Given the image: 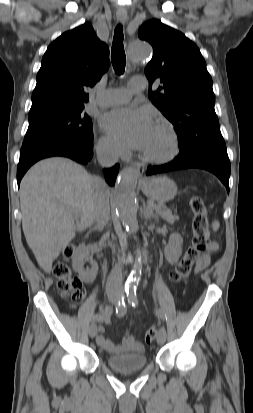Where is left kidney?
<instances>
[{"mask_svg": "<svg viewBox=\"0 0 253 413\" xmlns=\"http://www.w3.org/2000/svg\"><path fill=\"white\" fill-rule=\"evenodd\" d=\"M183 239L179 234L173 233L169 237V243L164 249L165 258L170 264L178 262L182 254Z\"/></svg>", "mask_w": 253, "mask_h": 413, "instance_id": "left-kidney-1", "label": "left kidney"}]
</instances>
